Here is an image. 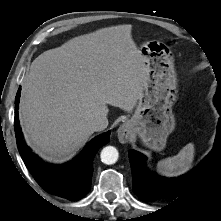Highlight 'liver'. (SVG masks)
<instances>
[{
    "label": "liver",
    "mask_w": 221,
    "mask_h": 221,
    "mask_svg": "<svg viewBox=\"0 0 221 221\" xmlns=\"http://www.w3.org/2000/svg\"><path fill=\"white\" fill-rule=\"evenodd\" d=\"M118 25L75 37L31 64L22 85L19 119L27 143L55 163L72 157L94 133L91 121L108 105L130 112L148 81L131 36Z\"/></svg>",
    "instance_id": "liver-1"
}]
</instances>
